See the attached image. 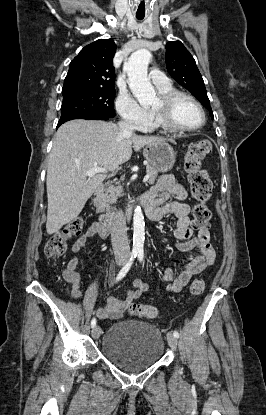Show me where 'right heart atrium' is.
Returning <instances> with one entry per match:
<instances>
[{"mask_svg":"<svg viewBox=\"0 0 266 415\" xmlns=\"http://www.w3.org/2000/svg\"><path fill=\"white\" fill-rule=\"evenodd\" d=\"M116 109L120 117L138 129L149 127L151 111L139 105L127 92H122L116 99Z\"/></svg>","mask_w":266,"mask_h":415,"instance_id":"1","label":"right heart atrium"}]
</instances>
